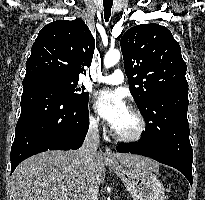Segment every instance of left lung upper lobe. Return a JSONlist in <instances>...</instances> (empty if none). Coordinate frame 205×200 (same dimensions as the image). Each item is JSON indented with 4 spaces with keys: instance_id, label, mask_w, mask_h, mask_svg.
<instances>
[{
    "instance_id": "5c2ea615",
    "label": "left lung upper lobe",
    "mask_w": 205,
    "mask_h": 200,
    "mask_svg": "<svg viewBox=\"0 0 205 200\" xmlns=\"http://www.w3.org/2000/svg\"><path fill=\"white\" fill-rule=\"evenodd\" d=\"M121 51L130 91L148 129L155 114L153 97L173 89L188 90L186 63L172 33L158 24H142L127 30L121 38Z\"/></svg>"
}]
</instances>
